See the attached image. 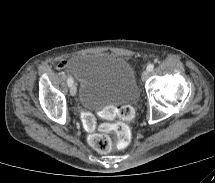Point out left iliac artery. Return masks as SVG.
Returning <instances> with one entry per match:
<instances>
[{"instance_id": "44dca946", "label": "left iliac artery", "mask_w": 215, "mask_h": 183, "mask_svg": "<svg viewBox=\"0 0 215 183\" xmlns=\"http://www.w3.org/2000/svg\"><path fill=\"white\" fill-rule=\"evenodd\" d=\"M153 69H154V64L151 63L147 66L148 71H152Z\"/></svg>"}]
</instances>
